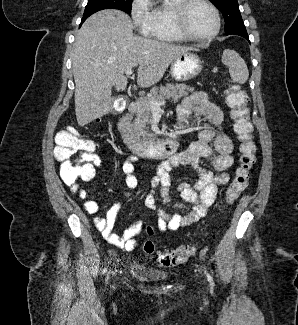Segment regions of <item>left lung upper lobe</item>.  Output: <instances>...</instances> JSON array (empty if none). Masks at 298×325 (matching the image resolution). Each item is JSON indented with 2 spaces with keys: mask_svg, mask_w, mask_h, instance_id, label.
Masks as SVG:
<instances>
[{
  "mask_svg": "<svg viewBox=\"0 0 298 325\" xmlns=\"http://www.w3.org/2000/svg\"><path fill=\"white\" fill-rule=\"evenodd\" d=\"M223 13L225 20V33L235 29L245 28L237 0H210Z\"/></svg>",
  "mask_w": 298,
  "mask_h": 325,
  "instance_id": "left-lung-upper-lobe-1",
  "label": "left lung upper lobe"
}]
</instances>
